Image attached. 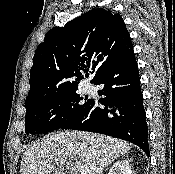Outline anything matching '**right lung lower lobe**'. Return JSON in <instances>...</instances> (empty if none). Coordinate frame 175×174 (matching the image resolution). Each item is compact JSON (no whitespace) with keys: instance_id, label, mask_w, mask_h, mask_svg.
<instances>
[{"instance_id":"obj_1","label":"right lung lower lobe","mask_w":175,"mask_h":174,"mask_svg":"<svg viewBox=\"0 0 175 174\" xmlns=\"http://www.w3.org/2000/svg\"><path fill=\"white\" fill-rule=\"evenodd\" d=\"M103 85L105 95L99 108L90 99L82 113L63 129H75L106 134L132 142L148 156V127L140 89V77L134 52L108 68L94 83Z\"/></svg>"}]
</instances>
